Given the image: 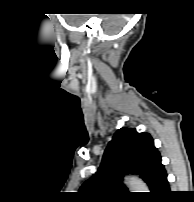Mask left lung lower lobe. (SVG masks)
Returning <instances> with one entry per match:
<instances>
[{"mask_svg": "<svg viewBox=\"0 0 194 202\" xmlns=\"http://www.w3.org/2000/svg\"><path fill=\"white\" fill-rule=\"evenodd\" d=\"M171 193L169 183L167 181V173L165 168L161 169L160 175L152 191V196L157 199H165Z\"/></svg>", "mask_w": 194, "mask_h": 202, "instance_id": "obj_1", "label": "left lung lower lobe"}]
</instances>
